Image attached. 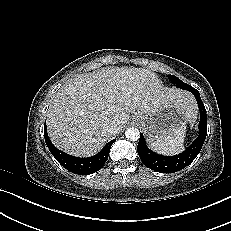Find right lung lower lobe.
Masks as SVG:
<instances>
[{"label":"right lung lower lobe","instance_id":"obj_1","mask_svg":"<svg viewBox=\"0 0 231 231\" xmlns=\"http://www.w3.org/2000/svg\"><path fill=\"white\" fill-rule=\"evenodd\" d=\"M44 137H45L46 144L52 155L55 157V159L68 171L79 175H88L100 170L108 158L111 145L115 141V139H113L112 141L108 142L105 145V147L98 154L94 156L87 157V158H79L66 154L60 151L59 149H57L51 143L47 135L46 125H44Z\"/></svg>","mask_w":231,"mask_h":231}]
</instances>
